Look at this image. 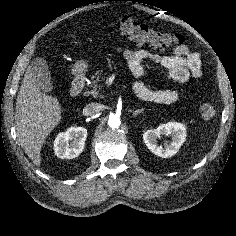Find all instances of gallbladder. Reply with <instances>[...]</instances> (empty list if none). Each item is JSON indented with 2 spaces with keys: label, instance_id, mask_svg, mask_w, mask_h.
Instances as JSON below:
<instances>
[{
  "label": "gallbladder",
  "instance_id": "1",
  "mask_svg": "<svg viewBox=\"0 0 236 236\" xmlns=\"http://www.w3.org/2000/svg\"><path fill=\"white\" fill-rule=\"evenodd\" d=\"M31 71L40 90L44 93H51L53 86L50 71L46 61L41 58H36L31 65Z\"/></svg>",
  "mask_w": 236,
  "mask_h": 236
}]
</instances>
